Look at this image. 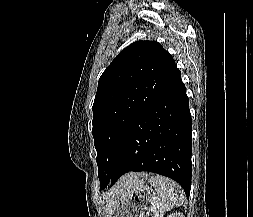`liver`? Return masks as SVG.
Listing matches in <instances>:
<instances>
[{
  "label": "liver",
  "instance_id": "liver-1",
  "mask_svg": "<svg viewBox=\"0 0 253 217\" xmlns=\"http://www.w3.org/2000/svg\"><path fill=\"white\" fill-rule=\"evenodd\" d=\"M147 178L148 175L145 173H128L124 175L106 196L107 210L110 211L115 199L142 185Z\"/></svg>",
  "mask_w": 253,
  "mask_h": 217
}]
</instances>
